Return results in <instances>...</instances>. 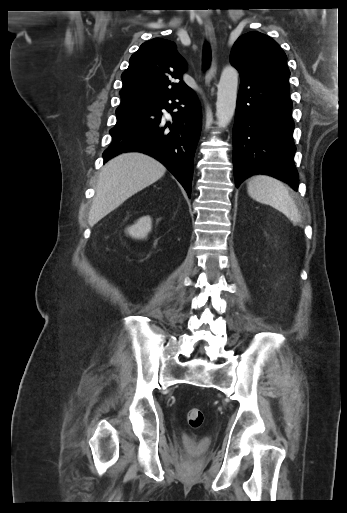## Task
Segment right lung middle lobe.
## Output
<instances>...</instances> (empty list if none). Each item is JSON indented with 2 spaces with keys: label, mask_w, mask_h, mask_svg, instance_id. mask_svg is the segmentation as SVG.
<instances>
[{
  "label": "right lung middle lobe",
  "mask_w": 347,
  "mask_h": 513,
  "mask_svg": "<svg viewBox=\"0 0 347 513\" xmlns=\"http://www.w3.org/2000/svg\"><path fill=\"white\" fill-rule=\"evenodd\" d=\"M124 111H127V110H126L125 108H123V107H119V108L117 109L116 113H117V112H124Z\"/></svg>",
  "instance_id": "right-lung-middle-lobe-1"
}]
</instances>
